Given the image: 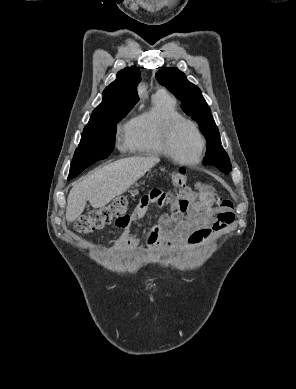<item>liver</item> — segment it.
<instances>
[{
  "label": "liver",
  "instance_id": "liver-1",
  "mask_svg": "<svg viewBox=\"0 0 296 389\" xmlns=\"http://www.w3.org/2000/svg\"><path fill=\"white\" fill-rule=\"evenodd\" d=\"M159 161L155 156L129 157L94 171L71 189L67 198L66 220L75 221L84 211L87 201L93 208L104 207L127 191Z\"/></svg>",
  "mask_w": 296,
  "mask_h": 389
}]
</instances>
